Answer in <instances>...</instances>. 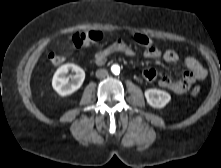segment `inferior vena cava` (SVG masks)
Masks as SVG:
<instances>
[{
	"mask_svg": "<svg viewBox=\"0 0 221 168\" xmlns=\"http://www.w3.org/2000/svg\"><path fill=\"white\" fill-rule=\"evenodd\" d=\"M108 76V71L106 69H99L96 71L97 78H105Z\"/></svg>",
	"mask_w": 221,
	"mask_h": 168,
	"instance_id": "inferior-vena-cava-1",
	"label": "inferior vena cava"
}]
</instances>
